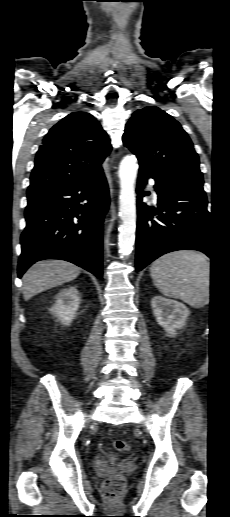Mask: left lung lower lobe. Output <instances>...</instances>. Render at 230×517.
<instances>
[{"instance_id":"1","label":"left lung lower lobe","mask_w":230,"mask_h":517,"mask_svg":"<svg viewBox=\"0 0 230 517\" xmlns=\"http://www.w3.org/2000/svg\"><path fill=\"white\" fill-rule=\"evenodd\" d=\"M155 179L158 208L142 202L146 179ZM136 270L176 250H198L212 258L207 198L200 185L178 184L139 170Z\"/></svg>"}]
</instances>
